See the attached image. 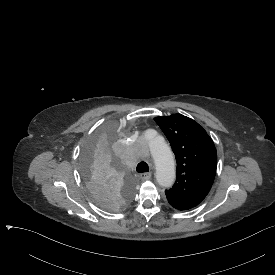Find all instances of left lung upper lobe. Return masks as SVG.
<instances>
[{
	"instance_id": "obj_1",
	"label": "left lung upper lobe",
	"mask_w": 275,
	"mask_h": 275,
	"mask_svg": "<svg viewBox=\"0 0 275 275\" xmlns=\"http://www.w3.org/2000/svg\"><path fill=\"white\" fill-rule=\"evenodd\" d=\"M155 122L170 142L177 162V177L165 194L170 205L178 210L197 206L213 184L217 152L213 140L194 120L173 114L156 117Z\"/></svg>"
}]
</instances>
